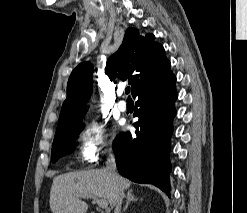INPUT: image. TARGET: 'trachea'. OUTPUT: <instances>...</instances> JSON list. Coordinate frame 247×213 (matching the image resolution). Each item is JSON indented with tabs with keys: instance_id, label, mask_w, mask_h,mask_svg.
Wrapping results in <instances>:
<instances>
[{
	"instance_id": "obj_1",
	"label": "trachea",
	"mask_w": 247,
	"mask_h": 213,
	"mask_svg": "<svg viewBox=\"0 0 247 213\" xmlns=\"http://www.w3.org/2000/svg\"><path fill=\"white\" fill-rule=\"evenodd\" d=\"M125 93H126V94H129V93H130V87H127V88L125 89Z\"/></svg>"
}]
</instances>
